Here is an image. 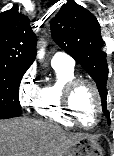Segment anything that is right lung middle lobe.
Returning a JSON list of instances; mask_svg holds the SVG:
<instances>
[{
  "mask_svg": "<svg viewBox=\"0 0 114 156\" xmlns=\"http://www.w3.org/2000/svg\"><path fill=\"white\" fill-rule=\"evenodd\" d=\"M25 69L0 66V119L21 115L19 84Z\"/></svg>",
  "mask_w": 114,
  "mask_h": 156,
  "instance_id": "dd1d6c3e",
  "label": "right lung middle lobe"
}]
</instances>
